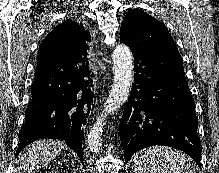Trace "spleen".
<instances>
[{"instance_id":"3e777b00","label":"spleen","mask_w":219,"mask_h":173,"mask_svg":"<svg viewBox=\"0 0 219 173\" xmlns=\"http://www.w3.org/2000/svg\"><path fill=\"white\" fill-rule=\"evenodd\" d=\"M132 162L135 173H196L181 152L163 146L135 153Z\"/></svg>"}]
</instances>
